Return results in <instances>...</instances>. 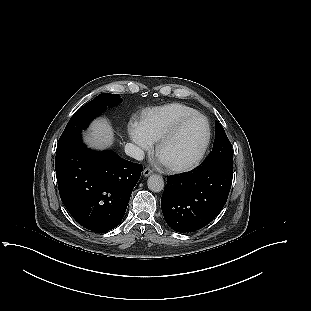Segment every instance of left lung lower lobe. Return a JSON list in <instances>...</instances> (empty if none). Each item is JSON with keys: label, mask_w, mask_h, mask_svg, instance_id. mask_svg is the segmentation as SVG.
<instances>
[{"label": "left lung lower lobe", "mask_w": 311, "mask_h": 311, "mask_svg": "<svg viewBox=\"0 0 311 311\" xmlns=\"http://www.w3.org/2000/svg\"><path fill=\"white\" fill-rule=\"evenodd\" d=\"M232 177V167L213 164L202 165L185 176L168 178L161 198L166 223L181 233L209 224L226 203Z\"/></svg>", "instance_id": "left-lung-lower-lobe-1"}]
</instances>
